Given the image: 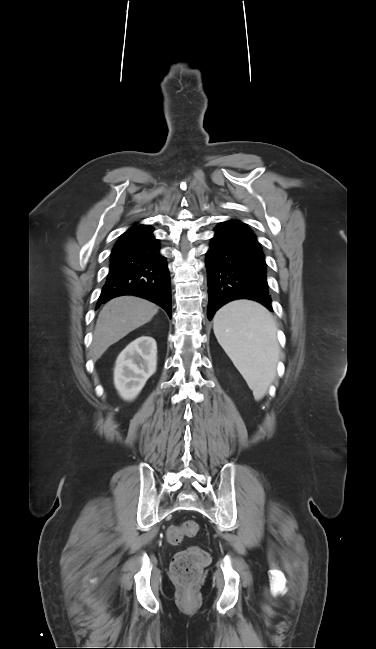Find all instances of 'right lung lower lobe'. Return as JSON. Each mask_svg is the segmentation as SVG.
<instances>
[{
	"instance_id": "1",
	"label": "right lung lower lobe",
	"mask_w": 376,
	"mask_h": 649,
	"mask_svg": "<svg viewBox=\"0 0 376 649\" xmlns=\"http://www.w3.org/2000/svg\"><path fill=\"white\" fill-rule=\"evenodd\" d=\"M152 232L149 228L119 238L96 308L114 297L134 295L159 305L172 317L169 270Z\"/></svg>"
}]
</instances>
